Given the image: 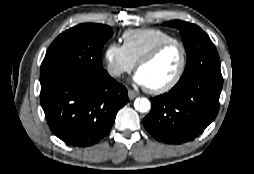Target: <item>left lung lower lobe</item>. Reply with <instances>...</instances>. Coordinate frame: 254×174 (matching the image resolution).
Wrapping results in <instances>:
<instances>
[{"label": "left lung lower lobe", "instance_id": "obj_1", "mask_svg": "<svg viewBox=\"0 0 254 174\" xmlns=\"http://www.w3.org/2000/svg\"><path fill=\"white\" fill-rule=\"evenodd\" d=\"M222 85V77L205 76L151 98V111L143 119L145 129L168 144L193 140L216 118Z\"/></svg>", "mask_w": 254, "mask_h": 174}]
</instances>
